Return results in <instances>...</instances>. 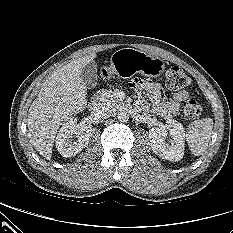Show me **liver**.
I'll use <instances>...</instances> for the list:
<instances>
[{
    "instance_id": "liver-1",
    "label": "liver",
    "mask_w": 233,
    "mask_h": 233,
    "mask_svg": "<svg viewBox=\"0 0 233 233\" xmlns=\"http://www.w3.org/2000/svg\"><path fill=\"white\" fill-rule=\"evenodd\" d=\"M96 58V53L72 60L46 79L37 98L29 108V138L34 148L51 159L57 130L87 105V86L81 73Z\"/></svg>"
}]
</instances>
